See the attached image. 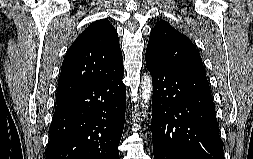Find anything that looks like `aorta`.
<instances>
[{
	"mask_svg": "<svg viewBox=\"0 0 253 159\" xmlns=\"http://www.w3.org/2000/svg\"><path fill=\"white\" fill-rule=\"evenodd\" d=\"M153 90V82L152 78L150 75L145 74L142 77V82H141V97H142V102H143V107L148 108V102L151 97Z\"/></svg>",
	"mask_w": 253,
	"mask_h": 159,
	"instance_id": "762f6f07",
	"label": "aorta"
}]
</instances>
